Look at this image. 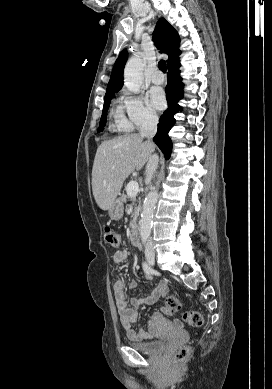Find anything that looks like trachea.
Instances as JSON below:
<instances>
[{"instance_id":"3493384b","label":"trachea","mask_w":272,"mask_h":389,"mask_svg":"<svg viewBox=\"0 0 272 389\" xmlns=\"http://www.w3.org/2000/svg\"><path fill=\"white\" fill-rule=\"evenodd\" d=\"M158 67L159 69L163 72V73H166V62L164 60H160L158 62Z\"/></svg>"}]
</instances>
